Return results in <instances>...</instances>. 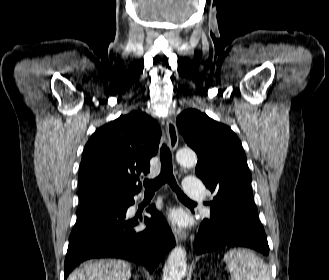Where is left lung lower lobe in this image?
Wrapping results in <instances>:
<instances>
[{
    "instance_id": "1",
    "label": "left lung lower lobe",
    "mask_w": 329,
    "mask_h": 280,
    "mask_svg": "<svg viewBox=\"0 0 329 280\" xmlns=\"http://www.w3.org/2000/svg\"><path fill=\"white\" fill-rule=\"evenodd\" d=\"M225 246H244L264 255L269 246L257 208L250 195L235 196L231 201L211 208V216L204 219L194 248L197 254Z\"/></svg>"
}]
</instances>
